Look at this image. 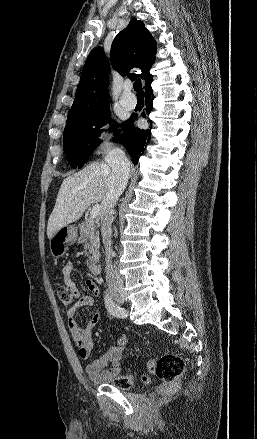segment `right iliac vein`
Returning <instances> with one entry per match:
<instances>
[{"label": "right iliac vein", "mask_w": 257, "mask_h": 439, "mask_svg": "<svg viewBox=\"0 0 257 439\" xmlns=\"http://www.w3.org/2000/svg\"><path fill=\"white\" fill-rule=\"evenodd\" d=\"M112 295L115 298V300L120 302V303H123L125 301L124 292H113Z\"/></svg>", "instance_id": "obj_1"}]
</instances>
